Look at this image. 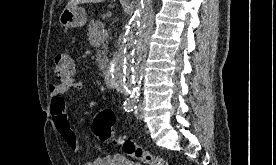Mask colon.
Listing matches in <instances>:
<instances>
[{
  "label": "colon",
  "mask_w": 276,
  "mask_h": 165,
  "mask_svg": "<svg viewBox=\"0 0 276 165\" xmlns=\"http://www.w3.org/2000/svg\"><path fill=\"white\" fill-rule=\"evenodd\" d=\"M55 75L60 80H67L75 75L76 67L68 52H60L55 57ZM115 115L110 109H101L95 116L92 124L94 135L102 141H110L120 145L124 153L146 165H167L166 161L157 155L144 150L132 139L116 135L113 130Z\"/></svg>",
  "instance_id": "1"
}]
</instances>
